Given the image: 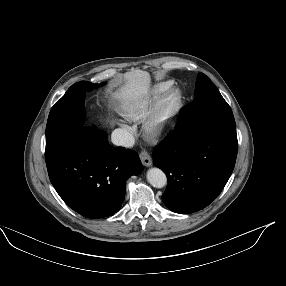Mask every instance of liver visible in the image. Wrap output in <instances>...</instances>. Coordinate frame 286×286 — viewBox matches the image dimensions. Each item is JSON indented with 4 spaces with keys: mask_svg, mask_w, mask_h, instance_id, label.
I'll return each instance as SVG.
<instances>
[{
    "mask_svg": "<svg viewBox=\"0 0 286 286\" xmlns=\"http://www.w3.org/2000/svg\"><path fill=\"white\" fill-rule=\"evenodd\" d=\"M125 85L115 93V98L124 102L138 101L143 99L150 89V75L146 71L135 70L122 75Z\"/></svg>",
    "mask_w": 286,
    "mask_h": 286,
    "instance_id": "obj_1",
    "label": "liver"
}]
</instances>
